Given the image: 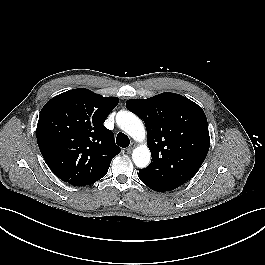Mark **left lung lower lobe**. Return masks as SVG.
I'll return each instance as SVG.
<instances>
[{
  "mask_svg": "<svg viewBox=\"0 0 265 265\" xmlns=\"http://www.w3.org/2000/svg\"><path fill=\"white\" fill-rule=\"evenodd\" d=\"M139 179L146 185L148 186L150 189L154 190V191H158V192H164V191H170L173 190L172 188L163 186L161 184H158L144 176H142L140 173L138 174Z\"/></svg>",
  "mask_w": 265,
  "mask_h": 265,
  "instance_id": "obj_1",
  "label": "left lung lower lobe"
}]
</instances>
